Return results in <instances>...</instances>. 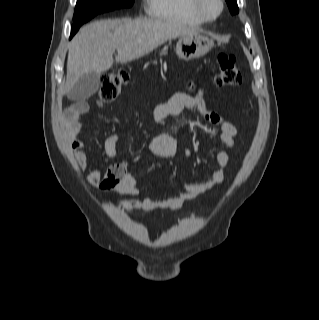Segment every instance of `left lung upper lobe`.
<instances>
[{"instance_id": "obj_1", "label": "left lung upper lobe", "mask_w": 319, "mask_h": 320, "mask_svg": "<svg viewBox=\"0 0 319 320\" xmlns=\"http://www.w3.org/2000/svg\"><path fill=\"white\" fill-rule=\"evenodd\" d=\"M226 2H227V5L229 7L231 14L239 13V9H238V5H237L236 0H226Z\"/></svg>"}]
</instances>
